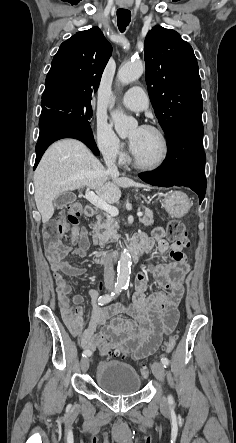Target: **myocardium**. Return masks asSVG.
Masks as SVG:
<instances>
[{"label":"myocardium","mask_w":236,"mask_h":443,"mask_svg":"<svg viewBox=\"0 0 236 443\" xmlns=\"http://www.w3.org/2000/svg\"><path fill=\"white\" fill-rule=\"evenodd\" d=\"M144 128L151 130L152 132H154L158 138L160 139L161 142V146H162V152L161 155L159 157V159L153 163H146L141 161L136 155L135 153L132 151V157H133V164L136 168L143 170V171H156L158 169H160L168 160L169 154H170V145H169V141L168 138L166 136V134L164 133V131L155 126V125H145Z\"/></svg>","instance_id":"obj_1"}]
</instances>
